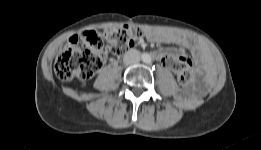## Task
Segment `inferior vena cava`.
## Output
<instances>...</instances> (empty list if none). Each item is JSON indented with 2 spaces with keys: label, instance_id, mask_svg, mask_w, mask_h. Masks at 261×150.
Segmentation results:
<instances>
[{
  "label": "inferior vena cava",
  "instance_id": "602c4592",
  "mask_svg": "<svg viewBox=\"0 0 261 150\" xmlns=\"http://www.w3.org/2000/svg\"><path fill=\"white\" fill-rule=\"evenodd\" d=\"M125 64H136L140 61V52L136 49H130L124 55Z\"/></svg>",
  "mask_w": 261,
  "mask_h": 150
}]
</instances>
